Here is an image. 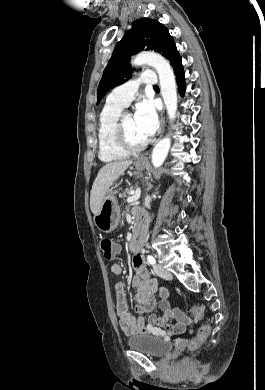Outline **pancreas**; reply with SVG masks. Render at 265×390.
Returning <instances> with one entry per match:
<instances>
[{
    "mask_svg": "<svg viewBox=\"0 0 265 390\" xmlns=\"http://www.w3.org/2000/svg\"><path fill=\"white\" fill-rule=\"evenodd\" d=\"M130 191H131V188H130V189H127V190L121 195V197H125L126 195L130 194Z\"/></svg>",
    "mask_w": 265,
    "mask_h": 390,
    "instance_id": "obj_1",
    "label": "pancreas"
}]
</instances>
